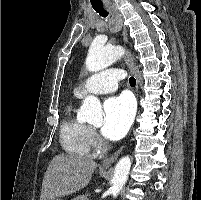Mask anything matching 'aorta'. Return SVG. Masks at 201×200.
Masks as SVG:
<instances>
[{"label": "aorta", "instance_id": "aorta-1", "mask_svg": "<svg viewBox=\"0 0 201 200\" xmlns=\"http://www.w3.org/2000/svg\"><path fill=\"white\" fill-rule=\"evenodd\" d=\"M124 54L121 46H104L94 41L88 51L86 58V68L91 72H97L107 68L115 61L120 59ZM81 117L84 121L91 124H99L102 122L101 104L98 98L87 96L81 107ZM131 168V160L129 156L122 157L116 164L114 176L112 180L111 193L116 197L125 185Z\"/></svg>", "mask_w": 201, "mask_h": 200}]
</instances>
